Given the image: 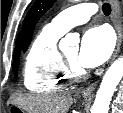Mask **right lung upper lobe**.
<instances>
[{"label":"right lung upper lobe","mask_w":123,"mask_h":113,"mask_svg":"<svg viewBox=\"0 0 123 113\" xmlns=\"http://www.w3.org/2000/svg\"><path fill=\"white\" fill-rule=\"evenodd\" d=\"M21 51V34H18L17 41H16V47L14 53H20Z\"/></svg>","instance_id":"right-lung-upper-lobe-1"}]
</instances>
